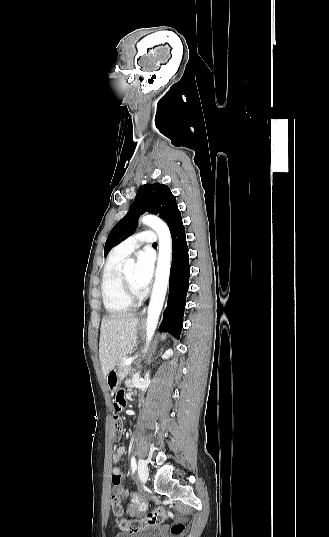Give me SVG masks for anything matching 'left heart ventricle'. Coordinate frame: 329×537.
<instances>
[{"label": "left heart ventricle", "instance_id": "left-heart-ventricle-1", "mask_svg": "<svg viewBox=\"0 0 329 537\" xmlns=\"http://www.w3.org/2000/svg\"><path fill=\"white\" fill-rule=\"evenodd\" d=\"M124 275L135 294H141L135 283V266H130L124 270Z\"/></svg>", "mask_w": 329, "mask_h": 537}]
</instances>
